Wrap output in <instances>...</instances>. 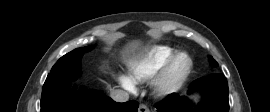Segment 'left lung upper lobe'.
I'll list each match as a JSON object with an SVG mask.
<instances>
[{
    "mask_svg": "<svg viewBox=\"0 0 270 112\" xmlns=\"http://www.w3.org/2000/svg\"><path fill=\"white\" fill-rule=\"evenodd\" d=\"M209 60H210V63L212 64V66H214V67L218 66V63L212 57H210Z\"/></svg>",
    "mask_w": 270,
    "mask_h": 112,
    "instance_id": "1",
    "label": "left lung upper lobe"
}]
</instances>
